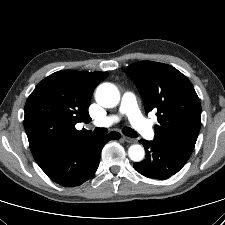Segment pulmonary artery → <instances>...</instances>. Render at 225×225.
<instances>
[{"label":"pulmonary artery","instance_id":"obj_1","mask_svg":"<svg viewBox=\"0 0 225 225\" xmlns=\"http://www.w3.org/2000/svg\"><path fill=\"white\" fill-rule=\"evenodd\" d=\"M120 113L128 117L132 126L147 140L154 137V130L150 123L143 117L137 105V99L133 92L127 91L123 94L120 104ZM119 116L112 115L99 120L98 126H108L118 122Z\"/></svg>","mask_w":225,"mask_h":225}]
</instances>
